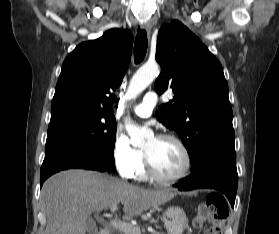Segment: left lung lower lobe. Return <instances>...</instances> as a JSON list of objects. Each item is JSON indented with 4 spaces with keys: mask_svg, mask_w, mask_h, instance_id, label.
<instances>
[{
    "mask_svg": "<svg viewBox=\"0 0 279 234\" xmlns=\"http://www.w3.org/2000/svg\"><path fill=\"white\" fill-rule=\"evenodd\" d=\"M238 174L236 154L218 153L211 156L190 176L176 185L180 191L198 188H213L224 193L234 207L237 192Z\"/></svg>",
    "mask_w": 279,
    "mask_h": 234,
    "instance_id": "1",
    "label": "left lung lower lobe"
}]
</instances>
